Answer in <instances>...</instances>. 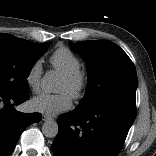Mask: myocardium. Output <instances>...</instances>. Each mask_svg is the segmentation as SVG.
<instances>
[{"instance_id": "obj_1", "label": "myocardium", "mask_w": 156, "mask_h": 156, "mask_svg": "<svg viewBox=\"0 0 156 156\" xmlns=\"http://www.w3.org/2000/svg\"><path fill=\"white\" fill-rule=\"evenodd\" d=\"M70 86V96L74 100L81 99L88 86V76L83 69H79L73 73L65 74L62 77Z\"/></svg>"}]
</instances>
